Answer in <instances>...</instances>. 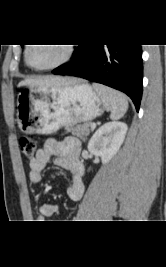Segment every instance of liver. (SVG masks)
Returning <instances> with one entry per match:
<instances>
[{
    "label": "liver",
    "mask_w": 166,
    "mask_h": 267,
    "mask_svg": "<svg viewBox=\"0 0 166 267\" xmlns=\"http://www.w3.org/2000/svg\"><path fill=\"white\" fill-rule=\"evenodd\" d=\"M78 80L73 78L64 77H41L36 79H25L18 84V87L31 86V87H60L68 86L77 83Z\"/></svg>",
    "instance_id": "obj_1"
}]
</instances>
